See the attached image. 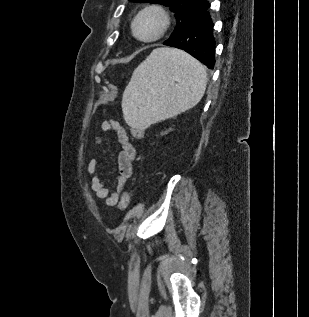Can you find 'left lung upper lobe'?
I'll return each instance as SVG.
<instances>
[{
	"label": "left lung upper lobe",
	"instance_id": "obj_1",
	"mask_svg": "<svg viewBox=\"0 0 309 317\" xmlns=\"http://www.w3.org/2000/svg\"><path fill=\"white\" fill-rule=\"evenodd\" d=\"M132 2H148L158 3L169 6L170 10L175 13L177 20L176 27L171 34L174 35L180 32L187 25L192 14L207 3V0H129Z\"/></svg>",
	"mask_w": 309,
	"mask_h": 317
}]
</instances>
